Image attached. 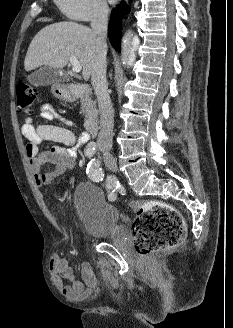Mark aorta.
Returning <instances> with one entry per match:
<instances>
[{
	"mask_svg": "<svg viewBox=\"0 0 233 328\" xmlns=\"http://www.w3.org/2000/svg\"><path fill=\"white\" fill-rule=\"evenodd\" d=\"M140 44L138 36H132L130 31H127L122 37L121 59L123 64L132 66L136 59V50Z\"/></svg>",
	"mask_w": 233,
	"mask_h": 328,
	"instance_id": "obj_1",
	"label": "aorta"
}]
</instances>
